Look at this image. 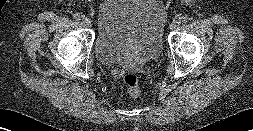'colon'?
Listing matches in <instances>:
<instances>
[{
	"instance_id": "1",
	"label": "colon",
	"mask_w": 253,
	"mask_h": 131,
	"mask_svg": "<svg viewBox=\"0 0 253 131\" xmlns=\"http://www.w3.org/2000/svg\"><path fill=\"white\" fill-rule=\"evenodd\" d=\"M123 84L129 96L136 98L140 94L138 76L133 72H127L123 76Z\"/></svg>"
}]
</instances>
